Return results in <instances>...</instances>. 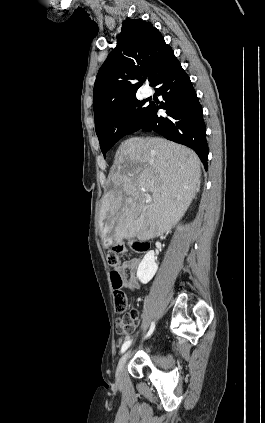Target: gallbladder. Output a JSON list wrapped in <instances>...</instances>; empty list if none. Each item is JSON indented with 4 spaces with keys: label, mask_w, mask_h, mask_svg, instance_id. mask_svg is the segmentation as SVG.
<instances>
[{
    "label": "gallbladder",
    "mask_w": 265,
    "mask_h": 423,
    "mask_svg": "<svg viewBox=\"0 0 265 423\" xmlns=\"http://www.w3.org/2000/svg\"><path fill=\"white\" fill-rule=\"evenodd\" d=\"M103 245H104V247L108 248L111 245V240L110 239L109 240L104 239Z\"/></svg>",
    "instance_id": "gallbladder-1"
}]
</instances>
